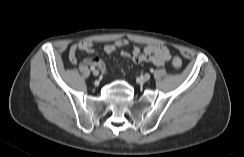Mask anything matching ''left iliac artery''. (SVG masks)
Masks as SVG:
<instances>
[{"instance_id":"left-iliac-artery-1","label":"left iliac artery","mask_w":244,"mask_h":157,"mask_svg":"<svg viewBox=\"0 0 244 157\" xmlns=\"http://www.w3.org/2000/svg\"><path fill=\"white\" fill-rule=\"evenodd\" d=\"M150 72H154V70L153 69H150Z\"/></svg>"}]
</instances>
